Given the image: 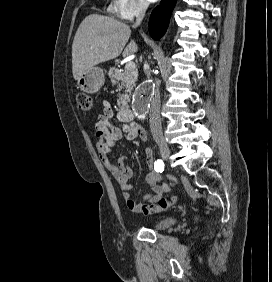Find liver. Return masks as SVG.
Listing matches in <instances>:
<instances>
[{"label": "liver", "instance_id": "obj_1", "mask_svg": "<svg viewBox=\"0 0 272 282\" xmlns=\"http://www.w3.org/2000/svg\"><path fill=\"white\" fill-rule=\"evenodd\" d=\"M131 35L130 27L99 14L88 15L79 25L72 44V72L75 80L100 63L138 51L134 40L125 47Z\"/></svg>", "mask_w": 272, "mask_h": 282}]
</instances>
